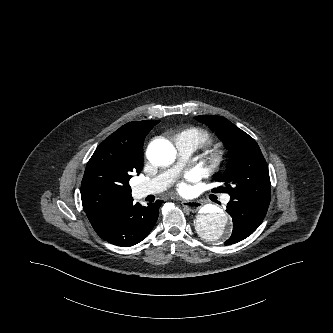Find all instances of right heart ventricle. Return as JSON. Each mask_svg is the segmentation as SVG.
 Wrapping results in <instances>:
<instances>
[{
    "instance_id": "obj_1",
    "label": "right heart ventricle",
    "mask_w": 333,
    "mask_h": 333,
    "mask_svg": "<svg viewBox=\"0 0 333 333\" xmlns=\"http://www.w3.org/2000/svg\"><path fill=\"white\" fill-rule=\"evenodd\" d=\"M178 137H190L197 141L199 144H206L210 142V137L204 131L198 129H187L178 134Z\"/></svg>"
}]
</instances>
